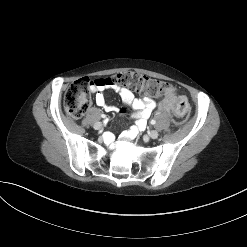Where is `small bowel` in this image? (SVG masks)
I'll return each mask as SVG.
<instances>
[{
	"label": "small bowel",
	"mask_w": 247,
	"mask_h": 247,
	"mask_svg": "<svg viewBox=\"0 0 247 247\" xmlns=\"http://www.w3.org/2000/svg\"><path fill=\"white\" fill-rule=\"evenodd\" d=\"M99 80L105 81V79ZM106 89H113L118 92L123 102L130 106L133 110V115L136 118V124L130 127V129L125 133V137H134L139 131L144 130L146 128L148 118L157 105L156 101L149 96L134 98L132 92L123 86L109 84L107 82L93 85L91 87V91L95 93L96 104L108 112L114 111L115 107L106 103L104 95V91ZM105 140L109 142L110 138L106 137Z\"/></svg>",
	"instance_id": "1"
}]
</instances>
